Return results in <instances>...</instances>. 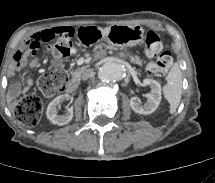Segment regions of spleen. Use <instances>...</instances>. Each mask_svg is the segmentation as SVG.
Listing matches in <instances>:
<instances>
[{
  "instance_id": "spleen-1",
  "label": "spleen",
  "mask_w": 215,
  "mask_h": 183,
  "mask_svg": "<svg viewBox=\"0 0 215 183\" xmlns=\"http://www.w3.org/2000/svg\"><path fill=\"white\" fill-rule=\"evenodd\" d=\"M167 83L163 87V94L170 104V113H174L179 106L182 95V73L175 64L166 77Z\"/></svg>"
}]
</instances>
